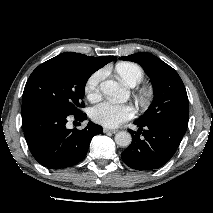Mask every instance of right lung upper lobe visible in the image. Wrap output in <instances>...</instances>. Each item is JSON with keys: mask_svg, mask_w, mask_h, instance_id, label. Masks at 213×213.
Segmentation results:
<instances>
[{"mask_svg": "<svg viewBox=\"0 0 213 213\" xmlns=\"http://www.w3.org/2000/svg\"><path fill=\"white\" fill-rule=\"evenodd\" d=\"M65 54L88 63L90 66L93 67L95 71H97L98 69L102 68L104 65L108 64L109 62L115 59V56L93 57L74 52H66Z\"/></svg>", "mask_w": 213, "mask_h": 213, "instance_id": "right-lung-upper-lobe-1", "label": "right lung upper lobe"}]
</instances>
